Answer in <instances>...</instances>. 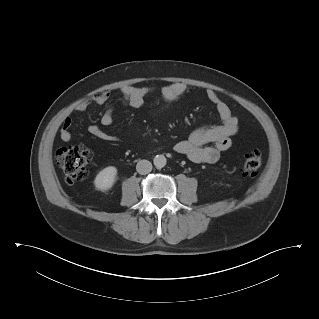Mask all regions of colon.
<instances>
[{"label": "colon", "mask_w": 319, "mask_h": 319, "mask_svg": "<svg viewBox=\"0 0 319 319\" xmlns=\"http://www.w3.org/2000/svg\"><path fill=\"white\" fill-rule=\"evenodd\" d=\"M90 152L83 145L63 147L56 154V162L68 182L84 180L90 171ZM262 166V155L257 149L248 152L243 161V172H257Z\"/></svg>", "instance_id": "1"}]
</instances>
